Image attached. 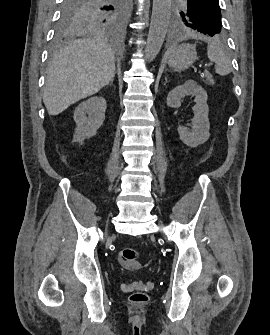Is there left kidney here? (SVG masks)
Returning <instances> with one entry per match:
<instances>
[{
	"label": "left kidney",
	"mask_w": 270,
	"mask_h": 335,
	"mask_svg": "<svg viewBox=\"0 0 270 335\" xmlns=\"http://www.w3.org/2000/svg\"><path fill=\"white\" fill-rule=\"evenodd\" d=\"M183 96H196V106L192 108L194 112L191 126L192 130L189 132L188 128L179 126L178 134L183 144L190 146V148H197V146L204 144V142H207L210 138L207 92H205L201 86H197V82H194V80H187L184 86H176L174 90L169 92L167 96V106H170V108H180L181 98H183Z\"/></svg>",
	"instance_id": "obj_1"
}]
</instances>
